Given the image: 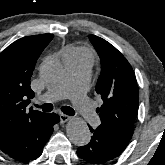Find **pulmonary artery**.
<instances>
[{
	"instance_id": "e3ab8cb5",
	"label": "pulmonary artery",
	"mask_w": 165,
	"mask_h": 165,
	"mask_svg": "<svg viewBox=\"0 0 165 165\" xmlns=\"http://www.w3.org/2000/svg\"><path fill=\"white\" fill-rule=\"evenodd\" d=\"M64 64L67 69L66 78L60 84L48 90L41 97V100L54 102L64 98H71L85 122L92 126H97L100 122L98 115L86 96L91 71V59L66 58L64 59Z\"/></svg>"
}]
</instances>
